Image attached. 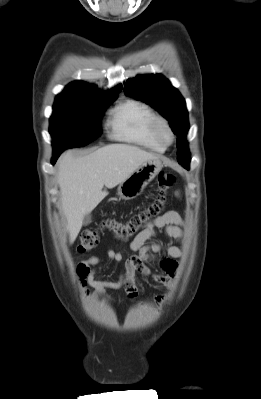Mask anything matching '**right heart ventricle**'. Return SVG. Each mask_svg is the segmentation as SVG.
I'll use <instances>...</instances> for the list:
<instances>
[{
  "instance_id": "obj_1",
  "label": "right heart ventricle",
  "mask_w": 261,
  "mask_h": 399,
  "mask_svg": "<svg viewBox=\"0 0 261 399\" xmlns=\"http://www.w3.org/2000/svg\"><path fill=\"white\" fill-rule=\"evenodd\" d=\"M155 113L146 103L126 99L113 108L107 121L111 138L152 151L163 152L166 147L154 135Z\"/></svg>"
}]
</instances>
